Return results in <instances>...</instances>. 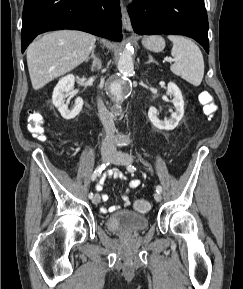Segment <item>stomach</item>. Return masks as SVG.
I'll return each instance as SVG.
<instances>
[{
    "label": "stomach",
    "mask_w": 243,
    "mask_h": 289,
    "mask_svg": "<svg viewBox=\"0 0 243 289\" xmlns=\"http://www.w3.org/2000/svg\"><path fill=\"white\" fill-rule=\"evenodd\" d=\"M142 44L145 48L153 52H160L165 47V41L159 35H153V36L144 38L142 40Z\"/></svg>",
    "instance_id": "stomach-1"
}]
</instances>
